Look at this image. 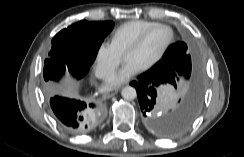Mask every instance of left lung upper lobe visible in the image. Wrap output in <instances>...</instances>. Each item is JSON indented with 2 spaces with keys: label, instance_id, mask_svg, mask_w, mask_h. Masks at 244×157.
<instances>
[{
  "label": "left lung upper lobe",
  "instance_id": "obj_1",
  "mask_svg": "<svg viewBox=\"0 0 244 157\" xmlns=\"http://www.w3.org/2000/svg\"><path fill=\"white\" fill-rule=\"evenodd\" d=\"M148 71L164 76L167 82L175 88L177 84H181L182 79H190L188 93L201 81V76L196 70L184 42H177L169 46L163 57Z\"/></svg>",
  "mask_w": 244,
  "mask_h": 157
}]
</instances>
